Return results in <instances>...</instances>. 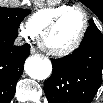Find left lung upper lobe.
I'll list each match as a JSON object with an SVG mask.
<instances>
[{
  "label": "left lung upper lobe",
  "mask_w": 103,
  "mask_h": 103,
  "mask_svg": "<svg viewBox=\"0 0 103 103\" xmlns=\"http://www.w3.org/2000/svg\"><path fill=\"white\" fill-rule=\"evenodd\" d=\"M90 24H94V22L91 20V21H90Z\"/></svg>",
  "instance_id": "obj_1"
}]
</instances>
